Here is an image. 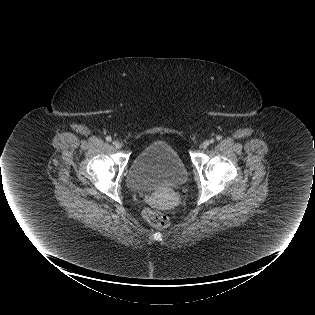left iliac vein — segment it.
<instances>
[{"label":"left iliac vein","mask_w":315,"mask_h":315,"mask_svg":"<svg viewBox=\"0 0 315 315\" xmlns=\"http://www.w3.org/2000/svg\"><path fill=\"white\" fill-rule=\"evenodd\" d=\"M209 145H210V141H209V140H205V141L202 143L201 147H202L203 149H206Z\"/></svg>","instance_id":"1"}]
</instances>
